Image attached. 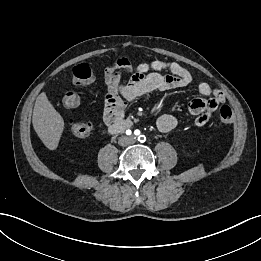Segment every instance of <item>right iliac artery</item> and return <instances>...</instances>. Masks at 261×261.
I'll use <instances>...</instances> for the list:
<instances>
[{
	"mask_svg": "<svg viewBox=\"0 0 261 261\" xmlns=\"http://www.w3.org/2000/svg\"><path fill=\"white\" fill-rule=\"evenodd\" d=\"M131 133H132L131 130H127V131H126V134H127V135H131Z\"/></svg>",
	"mask_w": 261,
	"mask_h": 261,
	"instance_id": "1",
	"label": "right iliac artery"
}]
</instances>
